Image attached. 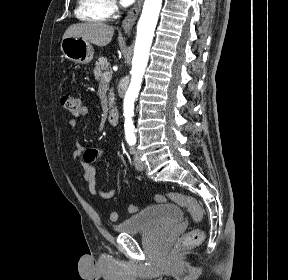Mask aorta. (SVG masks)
I'll return each mask as SVG.
<instances>
[{
    "mask_svg": "<svg viewBox=\"0 0 288 280\" xmlns=\"http://www.w3.org/2000/svg\"><path fill=\"white\" fill-rule=\"evenodd\" d=\"M162 0H145L137 25V36L132 61L131 82L124 98L123 116L133 120L134 102L138 96L142 78L148 63L149 51L161 10ZM125 140H136L137 126L134 121H123Z\"/></svg>",
    "mask_w": 288,
    "mask_h": 280,
    "instance_id": "obj_1",
    "label": "aorta"
}]
</instances>
